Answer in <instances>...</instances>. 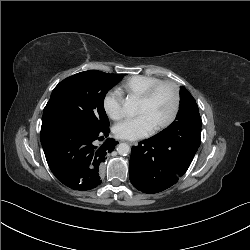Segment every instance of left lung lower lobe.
I'll return each instance as SVG.
<instances>
[{
	"label": "left lung lower lobe",
	"mask_w": 250,
	"mask_h": 250,
	"mask_svg": "<svg viewBox=\"0 0 250 250\" xmlns=\"http://www.w3.org/2000/svg\"><path fill=\"white\" fill-rule=\"evenodd\" d=\"M201 125V120L179 121L133 146L129 162L133 186L144 193H158L174 185L200 146Z\"/></svg>",
	"instance_id": "1"
}]
</instances>
